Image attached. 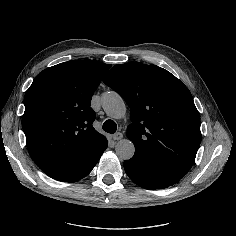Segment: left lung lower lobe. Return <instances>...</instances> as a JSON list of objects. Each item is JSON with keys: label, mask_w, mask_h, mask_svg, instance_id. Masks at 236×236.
<instances>
[{"label": "left lung lower lobe", "mask_w": 236, "mask_h": 236, "mask_svg": "<svg viewBox=\"0 0 236 236\" xmlns=\"http://www.w3.org/2000/svg\"><path fill=\"white\" fill-rule=\"evenodd\" d=\"M124 169L134 183L146 189L166 188L182 178L161 164L138 153L124 161Z\"/></svg>", "instance_id": "obj_1"}]
</instances>
